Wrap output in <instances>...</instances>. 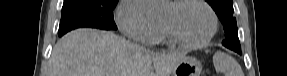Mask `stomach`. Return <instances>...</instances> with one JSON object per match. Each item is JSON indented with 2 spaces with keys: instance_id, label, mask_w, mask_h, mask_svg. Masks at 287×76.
<instances>
[{
  "instance_id": "obj_1",
  "label": "stomach",
  "mask_w": 287,
  "mask_h": 76,
  "mask_svg": "<svg viewBox=\"0 0 287 76\" xmlns=\"http://www.w3.org/2000/svg\"><path fill=\"white\" fill-rule=\"evenodd\" d=\"M202 64L193 57L182 58L174 67L172 76H200Z\"/></svg>"
}]
</instances>
